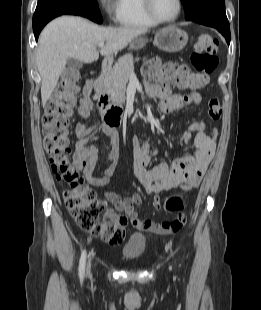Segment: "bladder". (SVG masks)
<instances>
[{"label": "bladder", "mask_w": 261, "mask_h": 310, "mask_svg": "<svg viewBox=\"0 0 261 310\" xmlns=\"http://www.w3.org/2000/svg\"><path fill=\"white\" fill-rule=\"evenodd\" d=\"M147 239L142 233H134L122 249V255L126 259H137L141 257L146 248Z\"/></svg>", "instance_id": "1"}]
</instances>
